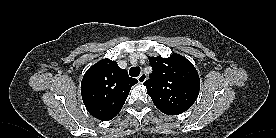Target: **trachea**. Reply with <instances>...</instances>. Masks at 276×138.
Returning <instances> with one entry per match:
<instances>
[{"label":"trachea","mask_w":276,"mask_h":138,"mask_svg":"<svg viewBox=\"0 0 276 138\" xmlns=\"http://www.w3.org/2000/svg\"><path fill=\"white\" fill-rule=\"evenodd\" d=\"M129 74L132 77H137L140 74V67L136 66V67H131L129 70Z\"/></svg>","instance_id":"3493384b"}]
</instances>
